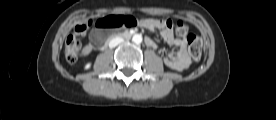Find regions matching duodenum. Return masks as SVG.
Returning <instances> with one entry per match:
<instances>
[{
    "mask_svg": "<svg viewBox=\"0 0 276 120\" xmlns=\"http://www.w3.org/2000/svg\"><path fill=\"white\" fill-rule=\"evenodd\" d=\"M135 35H136V32H129V31L119 32V33L112 35L110 37V39L107 41V43H109L110 41L115 40V39H130L131 37H133ZM145 43H146V45L149 44L150 40L146 38Z\"/></svg>",
    "mask_w": 276,
    "mask_h": 120,
    "instance_id": "duodenum-1",
    "label": "duodenum"
}]
</instances>
